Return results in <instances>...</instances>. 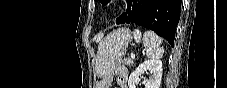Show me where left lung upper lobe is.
Listing matches in <instances>:
<instances>
[{"instance_id": "1", "label": "left lung upper lobe", "mask_w": 227, "mask_h": 88, "mask_svg": "<svg viewBox=\"0 0 227 88\" xmlns=\"http://www.w3.org/2000/svg\"><path fill=\"white\" fill-rule=\"evenodd\" d=\"M103 5H106L107 3L110 2V0H99Z\"/></svg>"}]
</instances>
